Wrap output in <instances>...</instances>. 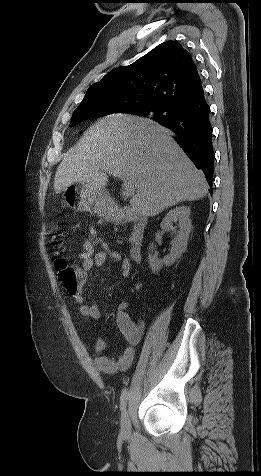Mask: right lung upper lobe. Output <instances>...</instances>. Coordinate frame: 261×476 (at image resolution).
Wrapping results in <instances>:
<instances>
[{"mask_svg":"<svg viewBox=\"0 0 261 476\" xmlns=\"http://www.w3.org/2000/svg\"><path fill=\"white\" fill-rule=\"evenodd\" d=\"M203 92L191 54L175 41L161 43L134 63L113 69L91 85L78 106L108 104L129 112L149 105L178 109Z\"/></svg>","mask_w":261,"mask_h":476,"instance_id":"1","label":"right lung upper lobe"}]
</instances>
